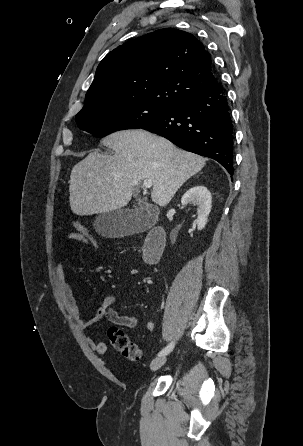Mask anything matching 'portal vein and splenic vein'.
I'll use <instances>...</instances> for the list:
<instances>
[{
    "label": "portal vein and splenic vein",
    "instance_id": "portal-vein-and-splenic-vein-1",
    "mask_svg": "<svg viewBox=\"0 0 303 446\" xmlns=\"http://www.w3.org/2000/svg\"><path fill=\"white\" fill-rule=\"evenodd\" d=\"M134 184L137 185L138 182H134ZM152 185H153V183H152L151 180H144V182H143V186H144L145 188H151Z\"/></svg>",
    "mask_w": 303,
    "mask_h": 446
}]
</instances>
